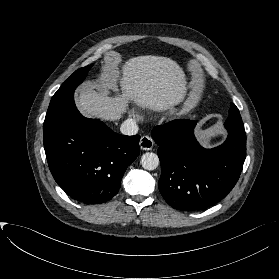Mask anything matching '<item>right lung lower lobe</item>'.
Segmentation results:
<instances>
[{
    "mask_svg": "<svg viewBox=\"0 0 279 279\" xmlns=\"http://www.w3.org/2000/svg\"><path fill=\"white\" fill-rule=\"evenodd\" d=\"M43 133L55 181L72 199L87 204L112 199L139 155V135L123 136L98 119L85 118L74 100L45 119Z\"/></svg>",
    "mask_w": 279,
    "mask_h": 279,
    "instance_id": "98d812e1",
    "label": "right lung lower lobe"
}]
</instances>
